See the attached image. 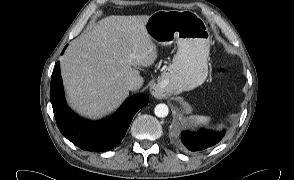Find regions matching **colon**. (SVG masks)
Returning <instances> with one entry per match:
<instances>
[{
  "label": "colon",
  "mask_w": 294,
  "mask_h": 180,
  "mask_svg": "<svg viewBox=\"0 0 294 180\" xmlns=\"http://www.w3.org/2000/svg\"><path fill=\"white\" fill-rule=\"evenodd\" d=\"M225 71V69L224 68H220V69H218V74H221V73H223Z\"/></svg>",
  "instance_id": "colon-1"
}]
</instances>
